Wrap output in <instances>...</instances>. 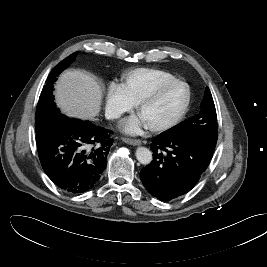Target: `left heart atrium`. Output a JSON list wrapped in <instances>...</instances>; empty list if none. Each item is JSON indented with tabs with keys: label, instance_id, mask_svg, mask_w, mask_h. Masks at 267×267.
<instances>
[{
	"label": "left heart atrium",
	"instance_id": "left-heart-atrium-1",
	"mask_svg": "<svg viewBox=\"0 0 267 267\" xmlns=\"http://www.w3.org/2000/svg\"><path fill=\"white\" fill-rule=\"evenodd\" d=\"M147 126L140 116L126 119L122 122V128L128 133H138L140 129Z\"/></svg>",
	"mask_w": 267,
	"mask_h": 267
}]
</instances>
